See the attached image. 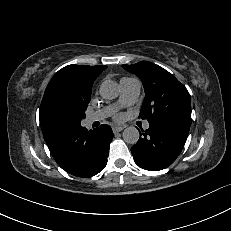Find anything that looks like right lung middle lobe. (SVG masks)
Returning a JSON list of instances; mask_svg holds the SVG:
<instances>
[{"instance_id": "right-lung-middle-lobe-1", "label": "right lung middle lobe", "mask_w": 231, "mask_h": 231, "mask_svg": "<svg viewBox=\"0 0 231 231\" xmlns=\"http://www.w3.org/2000/svg\"><path fill=\"white\" fill-rule=\"evenodd\" d=\"M86 104L70 99L59 98L52 105L55 117L70 125L79 124L85 118Z\"/></svg>"}]
</instances>
